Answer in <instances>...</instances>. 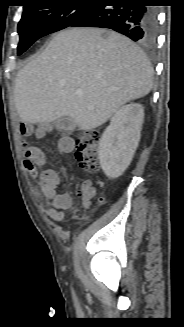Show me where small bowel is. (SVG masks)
<instances>
[{
  "label": "small bowel",
  "instance_id": "c3829d8e",
  "mask_svg": "<svg viewBox=\"0 0 184 327\" xmlns=\"http://www.w3.org/2000/svg\"><path fill=\"white\" fill-rule=\"evenodd\" d=\"M51 126L49 124L41 125L37 131L36 135L39 137L45 136ZM19 130L21 134H28L31 132L32 127L28 124H20ZM74 140L70 137H63L57 146L60 154L66 155L73 151ZM24 167L30 173L32 177H37L38 169L45 164V155L43 151L38 147H28L24 148ZM59 175L54 170H44L39 176V182L42 194L47 200L48 208L47 214L54 221H62L65 217L64 211L70 210L72 208V198L69 193H57V186L59 184ZM104 199L102 197L98 198L97 204L103 203ZM84 208H89L92 206L90 199L84 198L82 201Z\"/></svg>",
  "mask_w": 184,
  "mask_h": 327
}]
</instances>
